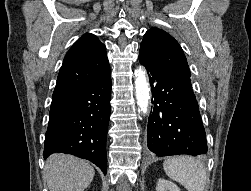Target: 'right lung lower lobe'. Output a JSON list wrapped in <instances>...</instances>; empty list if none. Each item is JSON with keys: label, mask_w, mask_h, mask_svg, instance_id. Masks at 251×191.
I'll return each mask as SVG.
<instances>
[{"label": "right lung lower lobe", "mask_w": 251, "mask_h": 191, "mask_svg": "<svg viewBox=\"0 0 251 191\" xmlns=\"http://www.w3.org/2000/svg\"><path fill=\"white\" fill-rule=\"evenodd\" d=\"M111 77L52 99L43 156L56 152L90 160L104 174L110 118Z\"/></svg>", "instance_id": "right-lung-lower-lobe-1"}]
</instances>
